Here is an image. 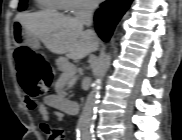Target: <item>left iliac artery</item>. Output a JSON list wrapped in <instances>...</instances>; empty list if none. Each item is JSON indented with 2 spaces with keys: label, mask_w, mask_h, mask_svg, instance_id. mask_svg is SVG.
I'll return each instance as SVG.
<instances>
[{
  "label": "left iliac artery",
  "mask_w": 182,
  "mask_h": 140,
  "mask_svg": "<svg viewBox=\"0 0 182 140\" xmlns=\"http://www.w3.org/2000/svg\"><path fill=\"white\" fill-rule=\"evenodd\" d=\"M91 140H96V139H95V136H92V137H91Z\"/></svg>",
  "instance_id": "1"
}]
</instances>
